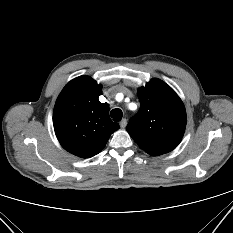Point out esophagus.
<instances>
[{
  "label": "esophagus",
  "mask_w": 233,
  "mask_h": 233,
  "mask_svg": "<svg viewBox=\"0 0 233 233\" xmlns=\"http://www.w3.org/2000/svg\"><path fill=\"white\" fill-rule=\"evenodd\" d=\"M126 125H127V120H126V119H122V120L120 121V127H121V128H125Z\"/></svg>",
  "instance_id": "1"
}]
</instances>
